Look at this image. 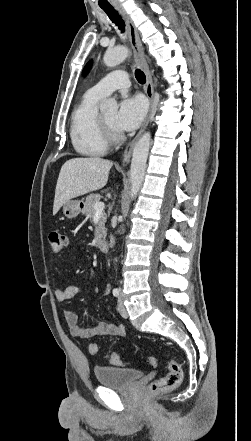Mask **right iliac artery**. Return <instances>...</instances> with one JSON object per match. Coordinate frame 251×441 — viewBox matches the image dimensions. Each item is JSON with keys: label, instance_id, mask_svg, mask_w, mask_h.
Returning <instances> with one entry per match:
<instances>
[{"label": "right iliac artery", "instance_id": "82829eb1", "mask_svg": "<svg viewBox=\"0 0 251 441\" xmlns=\"http://www.w3.org/2000/svg\"><path fill=\"white\" fill-rule=\"evenodd\" d=\"M119 294H120V290L117 289V288H115V289L113 290V295H114L115 297H118Z\"/></svg>", "mask_w": 251, "mask_h": 441}]
</instances>
